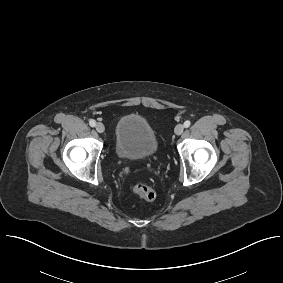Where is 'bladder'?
<instances>
[{
	"label": "bladder",
	"instance_id": "31cf9c89",
	"mask_svg": "<svg viewBox=\"0 0 283 283\" xmlns=\"http://www.w3.org/2000/svg\"><path fill=\"white\" fill-rule=\"evenodd\" d=\"M158 148L156 132L143 116L127 114L118 120L113 144L118 159H149L156 155Z\"/></svg>",
	"mask_w": 283,
	"mask_h": 283
}]
</instances>
